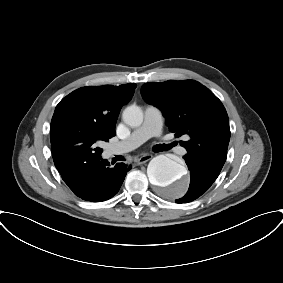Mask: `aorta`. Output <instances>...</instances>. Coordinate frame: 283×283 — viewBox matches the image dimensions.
<instances>
[{
	"label": "aorta",
	"instance_id": "aorta-1",
	"mask_svg": "<svg viewBox=\"0 0 283 283\" xmlns=\"http://www.w3.org/2000/svg\"><path fill=\"white\" fill-rule=\"evenodd\" d=\"M122 119L127 125L138 127L143 122V112L131 105L124 109ZM147 175L151 184L167 189L166 194L173 198L182 197L188 189L186 168L167 155L154 157L148 164Z\"/></svg>",
	"mask_w": 283,
	"mask_h": 283
}]
</instances>
